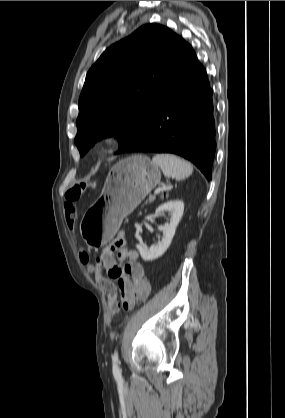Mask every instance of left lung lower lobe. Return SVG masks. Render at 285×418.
Wrapping results in <instances>:
<instances>
[{
    "label": "left lung lower lobe",
    "instance_id": "0a47b994",
    "mask_svg": "<svg viewBox=\"0 0 285 418\" xmlns=\"http://www.w3.org/2000/svg\"><path fill=\"white\" fill-rule=\"evenodd\" d=\"M215 134L210 81L185 42L142 133L126 152L177 154L193 162L210 180Z\"/></svg>",
    "mask_w": 285,
    "mask_h": 418
}]
</instances>
